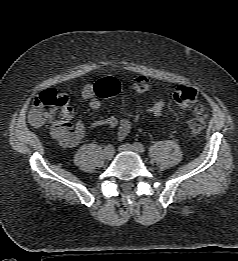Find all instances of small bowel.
I'll return each mask as SVG.
<instances>
[{
  "instance_id": "obj_1",
  "label": "small bowel",
  "mask_w": 238,
  "mask_h": 261,
  "mask_svg": "<svg viewBox=\"0 0 238 261\" xmlns=\"http://www.w3.org/2000/svg\"><path fill=\"white\" fill-rule=\"evenodd\" d=\"M82 97L89 102V106L93 110H98L101 107V100L96 92L94 84H86L81 91ZM165 102L159 99L153 102L148 108V112L153 116H160ZM71 117L65 122H53L51 132L54 138H56L65 147L77 146L83 138L86 136L89 130L99 127H110L117 129V138L119 140L124 139L130 132L132 122L128 118L118 119L116 117H108L102 120L92 122L89 126H86L83 122L78 121L75 124L71 123Z\"/></svg>"
}]
</instances>
